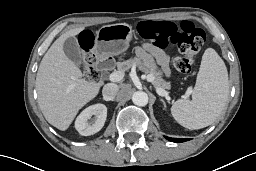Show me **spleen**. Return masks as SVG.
Wrapping results in <instances>:
<instances>
[{
    "label": "spleen",
    "mask_w": 256,
    "mask_h": 171,
    "mask_svg": "<svg viewBox=\"0 0 256 171\" xmlns=\"http://www.w3.org/2000/svg\"><path fill=\"white\" fill-rule=\"evenodd\" d=\"M229 96L228 72L217 52L205 50L192 91V100L179 99L171 107L173 118L196 130L211 125L224 110Z\"/></svg>",
    "instance_id": "spleen-1"
}]
</instances>
